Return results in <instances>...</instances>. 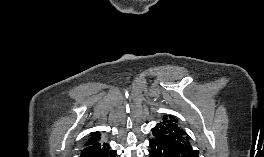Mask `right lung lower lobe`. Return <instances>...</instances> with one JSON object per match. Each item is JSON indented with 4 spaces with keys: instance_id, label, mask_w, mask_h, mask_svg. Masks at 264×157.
I'll return each instance as SVG.
<instances>
[{
    "instance_id": "1",
    "label": "right lung lower lobe",
    "mask_w": 264,
    "mask_h": 157,
    "mask_svg": "<svg viewBox=\"0 0 264 157\" xmlns=\"http://www.w3.org/2000/svg\"><path fill=\"white\" fill-rule=\"evenodd\" d=\"M80 157H117L116 151L112 150L105 142H96L81 150Z\"/></svg>"
}]
</instances>
